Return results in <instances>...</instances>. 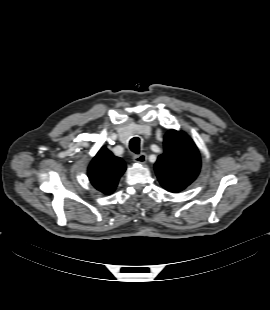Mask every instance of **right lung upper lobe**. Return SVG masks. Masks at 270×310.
I'll list each match as a JSON object with an SVG mask.
<instances>
[{
	"label": "right lung upper lobe",
	"instance_id": "cb5924a9",
	"mask_svg": "<svg viewBox=\"0 0 270 310\" xmlns=\"http://www.w3.org/2000/svg\"><path fill=\"white\" fill-rule=\"evenodd\" d=\"M125 170L124 161L102 147L88 167V178L97 190L108 195L115 190Z\"/></svg>",
	"mask_w": 270,
	"mask_h": 310
}]
</instances>
